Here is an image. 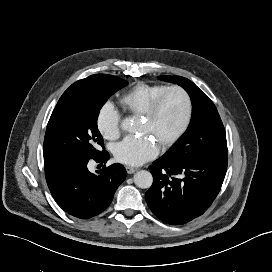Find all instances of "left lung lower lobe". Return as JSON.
Here are the masks:
<instances>
[{
  "mask_svg": "<svg viewBox=\"0 0 272 272\" xmlns=\"http://www.w3.org/2000/svg\"><path fill=\"white\" fill-rule=\"evenodd\" d=\"M227 161V155L156 160L149 167L153 175V184L145 195L149 208L172 225L185 224L202 215L221 189Z\"/></svg>",
  "mask_w": 272,
  "mask_h": 272,
  "instance_id": "0a47b994",
  "label": "left lung lower lobe"
}]
</instances>
